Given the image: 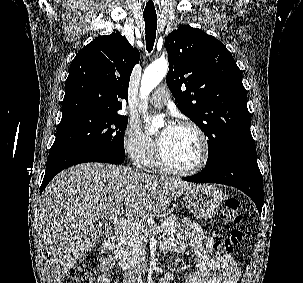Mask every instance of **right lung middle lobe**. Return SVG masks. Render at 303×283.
I'll list each match as a JSON object with an SVG mask.
<instances>
[{
  "mask_svg": "<svg viewBox=\"0 0 303 283\" xmlns=\"http://www.w3.org/2000/svg\"><path fill=\"white\" fill-rule=\"evenodd\" d=\"M127 117L96 112L63 116L49 154L93 151L125 157L124 134Z\"/></svg>",
  "mask_w": 303,
  "mask_h": 283,
  "instance_id": "right-lung-middle-lobe-1",
  "label": "right lung middle lobe"
}]
</instances>
